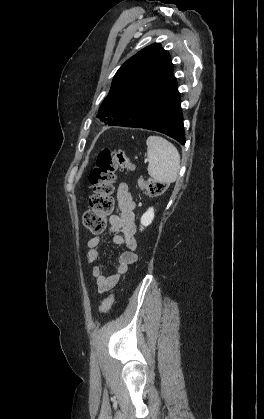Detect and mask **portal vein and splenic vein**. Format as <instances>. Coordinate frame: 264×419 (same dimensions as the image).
Wrapping results in <instances>:
<instances>
[{
  "label": "portal vein and splenic vein",
  "mask_w": 264,
  "mask_h": 419,
  "mask_svg": "<svg viewBox=\"0 0 264 419\" xmlns=\"http://www.w3.org/2000/svg\"><path fill=\"white\" fill-rule=\"evenodd\" d=\"M148 161V159H145V162H147Z\"/></svg>",
  "instance_id": "18ae733b"
}]
</instances>
